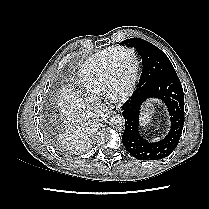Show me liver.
I'll use <instances>...</instances> for the list:
<instances>
[{
  "mask_svg": "<svg viewBox=\"0 0 209 209\" xmlns=\"http://www.w3.org/2000/svg\"><path fill=\"white\" fill-rule=\"evenodd\" d=\"M57 104L64 120L65 132L61 142L71 149H78L88 142L95 115L85 98H81L72 88H64L58 96Z\"/></svg>",
  "mask_w": 209,
  "mask_h": 209,
  "instance_id": "liver-1",
  "label": "liver"
}]
</instances>
